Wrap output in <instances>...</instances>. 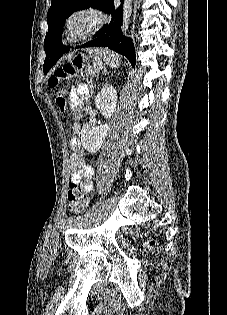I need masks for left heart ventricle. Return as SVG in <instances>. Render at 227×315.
<instances>
[{
    "instance_id": "left-heart-ventricle-1",
    "label": "left heart ventricle",
    "mask_w": 227,
    "mask_h": 315,
    "mask_svg": "<svg viewBox=\"0 0 227 315\" xmlns=\"http://www.w3.org/2000/svg\"><path fill=\"white\" fill-rule=\"evenodd\" d=\"M80 23H81V24H82V23H85V20H84V19H83V20H81V21H80Z\"/></svg>"
}]
</instances>
